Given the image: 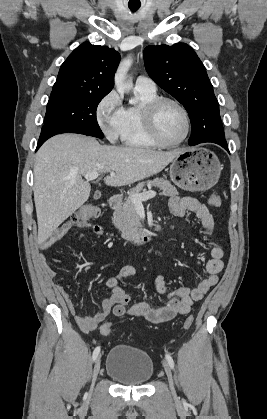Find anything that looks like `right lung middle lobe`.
Here are the masks:
<instances>
[{
    "mask_svg": "<svg viewBox=\"0 0 267 419\" xmlns=\"http://www.w3.org/2000/svg\"><path fill=\"white\" fill-rule=\"evenodd\" d=\"M107 94H51L44 126L54 127L65 132L80 133L97 138L104 135L97 123L96 109Z\"/></svg>",
    "mask_w": 267,
    "mask_h": 419,
    "instance_id": "obj_1",
    "label": "right lung middle lobe"
}]
</instances>
